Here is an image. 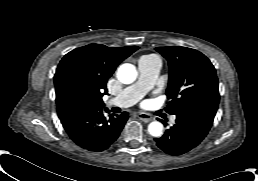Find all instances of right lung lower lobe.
<instances>
[{"label": "right lung lower lobe", "instance_id": "1", "mask_svg": "<svg viewBox=\"0 0 258 181\" xmlns=\"http://www.w3.org/2000/svg\"><path fill=\"white\" fill-rule=\"evenodd\" d=\"M106 112H109L106 109ZM69 137L83 149L101 152L118 138L128 113L104 117L102 107L77 109L58 114Z\"/></svg>", "mask_w": 258, "mask_h": 181}]
</instances>
